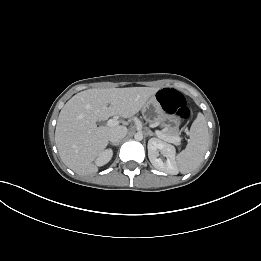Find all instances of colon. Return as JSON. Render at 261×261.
<instances>
[{"label": "colon", "mask_w": 261, "mask_h": 261, "mask_svg": "<svg viewBox=\"0 0 261 261\" xmlns=\"http://www.w3.org/2000/svg\"><path fill=\"white\" fill-rule=\"evenodd\" d=\"M157 99L162 108L179 120H185L189 117L190 111L187 107L184 96L175 89L164 88L157 93Z\"/></svg>", "instance_id": "1"}]
</instances>
